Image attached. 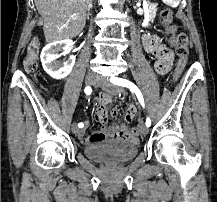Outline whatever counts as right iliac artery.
I'll return each instance as SVG.
<instances>
[{
  "label": "right iliac artery",
  "instance_id": "1",
  "mask_svg": "<svg viewBox=\"0 0 217 202\" xmlns=\"http://www.w3.org/2000/svg\"><path fill=\"white\" fill-rule=\"evenodd\" d=\"M84 92H85L87 95H90L91 92H92L91 87H90V86L85 87ZM78 127H79V128H83V127H84V124L81 122V123L78 124Z\"/></svg>",
  "mask_w": 217,
  "mask_h": 202
}]
</instances>
